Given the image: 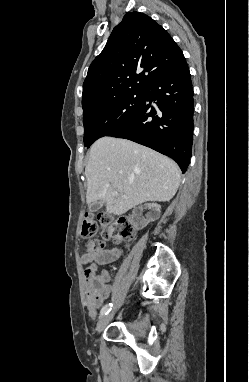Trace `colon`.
Returning a JSON list of instances; mask_svg holds the SVG:
<instances>
[{
  "label": "colon",
  "mask_w": 249,
  "mask_h": 382,
  "mask_svg": "<svg viewBox=\"0 0 249 382\" xmlns=\"http://www.w3.org/2000/svg\"><path fill=\"white\" fill-rule=\"evenodd\" d=\"M98 222L102 226V240L89 239L86 242L88 253H97L103 249L106 242H129L136 235V228L133 222L127 219H117L111 215H101L96 218L92 214H85L82 222L81 233L84 237H92L98 228ZM104 291V287H101Z\"/></svg>",
  "instance_id": "obj_1"
}]
</instances>
